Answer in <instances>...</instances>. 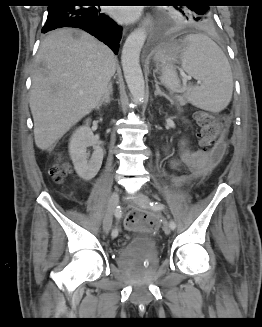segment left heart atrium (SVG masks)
Here are the masks:
<instances>
[{
  "label": "left heart atrium",
  "mask_w": 262,
  "mask_h": 327,
  "mask_svg": "<svg viewBox=\"0 0 262 327\" xmlns=\"http://www.w3.org/2000/svg\"><path fill=\"white\" fill-rule=\"evenodd\" d=\"M111 15L120 21H132L138 16L137 8H113Z\"/></svg>",
  "instance_id": "left-heart-atrium-1"
}]
</instances>
